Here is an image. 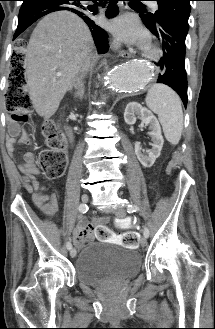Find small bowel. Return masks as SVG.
Masks as SVG:
<instances>
[{"label": "small bowel", "instance_id": "obj_1", "mask_svg": "<svg viewBox=\"0 0 215 329\" xmlns=\"http://www.w3.org/2000/svg\"><path fill=\"white\" fill-rule=\"evenodd\" d=\"M20 133V127L16 123L10 126V137L7 141V147L10 155H14V145H25L29 143L27 135L23 134L17 138ZM35 157L32 153H26L23 162L19 164V169L24 177L30 182L34 192L32 200L35 206L48 216L54 215L58 210V200L55 194H46L40 182L36 179L38 169L35 166ZM108 221L106 216H100L89 222L82 219L75 230V241L80 248L88 245L90 237L88 234L94 232L95 242H114L117 237L113 234L111 225H105ZM113 234V235H112Z\"/></svg>", "mask_w": 215, "mask_h": 329}]
</instances>
